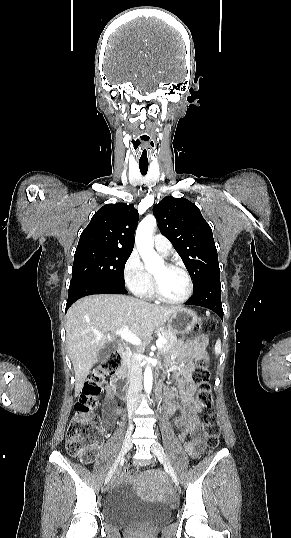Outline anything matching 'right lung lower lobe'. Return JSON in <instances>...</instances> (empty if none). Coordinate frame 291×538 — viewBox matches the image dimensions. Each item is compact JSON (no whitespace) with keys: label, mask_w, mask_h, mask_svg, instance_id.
<instances>
[{"label":"right lung lower lobe","mask_w":291,"mask_h":538,"mask_svg":"<svg viewBox=\"0 0 291 538\" xmlns=\"http://www.w3.org/2000/svg\"><path fill=\"white\" fill-rule=\"evenodd\" d=\"M127 290L123 287L113 285L85 283L69 287L66 311L78 299L92 294H126Z\"/></svg>","instance_id":"right-lung-lower-lobe-1"}]
</instances>
